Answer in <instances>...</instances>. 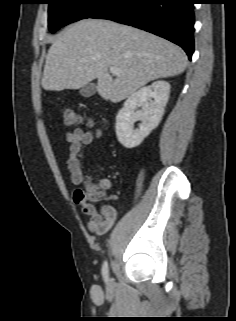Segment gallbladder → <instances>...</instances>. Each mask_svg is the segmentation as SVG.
<instances>
[{
  "mask_svg": "<svg viewBox=\"0 0 236 321\" xmlns=\"http://www.w3.org/2000/svg\"><path fill=\"white\" fill-rule=\"evenodd\" d=\"M95 92H96V85L94 83H88L87 85L82 87L79 91V93L86 98L93 96Z\"/></svg>",
  "mask_w": 236,
  "mask_h": 321,
  "instance_id": "bac80fb5",
  "label": "gallbladder"
}]
</instances>
